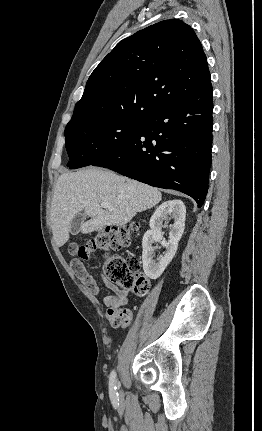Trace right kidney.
<instances>
[{"label": "right kidney", "mask_w": 262, "mask_h": 431, "mask_svg": "<svg viewBox=\"0 0 262 431\" xmlns=\"http://www.w3.org/2000/svg\"><path fill=\"white\" fill-rule=\"evenodd\" d=\"M172 217L174 223L169 232V241H162L163 221ZM186 208L181 200H169L162 203L154 212L150 219V230H148L142 240V261L145 274L151 279H157L162 275L168 264L172 261L178 248L185 228ZM154 242H160L166 253L163 257L153 259L155 248Z\"/></svg>", "instance_id": "right-kidney-1"}]
</instances>
